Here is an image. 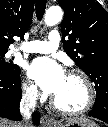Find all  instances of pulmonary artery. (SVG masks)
<instances>
[{
    "label": "pulmonary artery",
    "mask_w": 108,
    "mask_h": 127,
    "mask_svg": "<svg viewBox=\"0 0 108 127\" xmlns=\"http://www.w3.org/2000/svg\"><path fill=\"white\" fill-rule=\"evenodd\" d=\"M60 42V34L53 30L48 35L47 41H30L21 49L29 53H51L57 50Z\"/></svg>",
    "instance_id": "obj_1"
}]
</instances>
